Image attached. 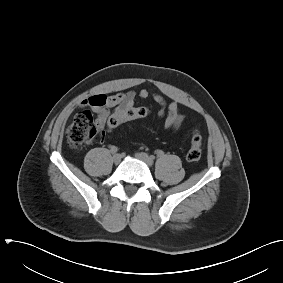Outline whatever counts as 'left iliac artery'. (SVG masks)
Returning a JSON list of instances; mask_svg holds the SVG:
<instances>
[{
	"mask_svg": "<svg viewBox=\"0 0 283 283\" xmlns=\"http://www.w3.org/2000/svg\"><path fill=\"white\" fill-rule=\"evenodd\" d=\"M164 155V152L162 151V150H159L158 152H157V156L158 157H162ZM152 158L154 159V157L152 156Z\"/></svg>",
	"mask_w": 283,
	"mask_h": 283,
	"instance_id": "44dca946",
	"label": "left iliac artery"
}]
</instances>
